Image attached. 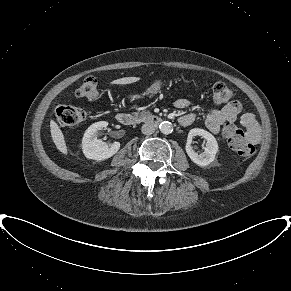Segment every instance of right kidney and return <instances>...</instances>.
<instances>
[{
  "label": "right kidney",
  "mask_w": 291,
  "mask_h": 291,
  "mask_svg": "<svg viewBox=\"0 0 291 291\" xmlns=\"http://www.w3.org/2000/svg\"><path fill=\"white\" fill-rule=\"evenodd\" d=\"M108 126V122L100 121L92 124L85 132L82 140V150L87 159L96 161L106 160L116 154L120 148L119 142H114L110 147L97 138L99 130Z\"/></svg>",
  "instance_id": "obj_1"
}]
</instances>
